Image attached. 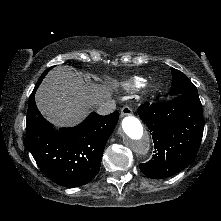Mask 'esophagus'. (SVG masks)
Returning a JSON list of instances; mask_svg holds the SVG:
<instances>
[{"label": "esophagus", "instance_id": "34e87169", "mask_svg": "<svg viewBox=\"0 0 221 221\" xmlns=\"http://www.w3.org/2000/svg\"><path fill=\"white\" fill-rule=\"evenodd\" d=\"M133 111L130 107L124 106L121 109V117L132 115Z\"/></svg>", "mask_w": 221, "mask_h": 221}]
</instances>
